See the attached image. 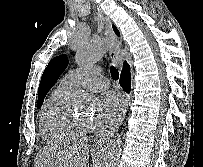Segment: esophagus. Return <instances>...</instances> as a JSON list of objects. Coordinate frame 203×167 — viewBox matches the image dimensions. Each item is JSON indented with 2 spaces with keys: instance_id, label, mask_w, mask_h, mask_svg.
I'll use <instances>...</instances> for the list:
<instances>
[{
  "instance_id": "34e87169",
  "label": "esophagus",
  "mask_w": 203,
  "mask_h": 167,
  "mask_svg": "<svg viewBox=\"0 0 203 167\" xmlns=\"http://www.w3.org/2000/svg\"><path fill=\"white\" fill-rule=\"evenodd\" d=\"M105 35L111 41L110 56H111L113 62L117 66L121 67L122 57H121V53H120L119 43H118L117 37L113 31L112 23L108 18H105ZM128 106H129V96L127 94H124L122 111H121V114H120L117 122L113 125V127L105 135L100 137V139L96 142L95 147L93 149L94 152H96V153L102 152L103 149L105 148L107 142L110 140V138L118 131L120 125L122 124V122L126 116Z\"/></svg>"
}]
</instances>
